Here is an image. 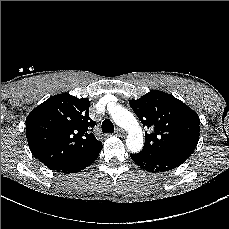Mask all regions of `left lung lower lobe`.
<instances>
[{"instance_id": "0a47b994", "label": "left lung lower lobe", "mask_w": 229, "mask_h": 229, "mask_svg": "<svg viewBox=\"0 0 229 229\" xmlns=\"http://www.w3.org/2000/svg\"><path fill=\"white\" fill-rule=\"evenodd\" d=\"M130 156L138 166L152 173L172 170L186 160L184 158L152 157L139 153L130 154Z\"/></svg>"}]
</instances>
